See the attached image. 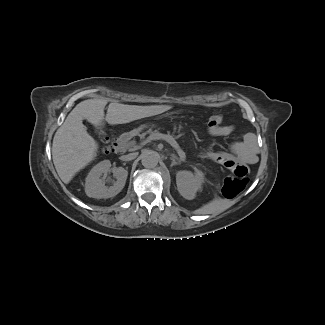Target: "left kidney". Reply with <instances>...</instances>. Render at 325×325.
Returning <instances> with one entry per match:
<instances>
[{"label":"left kidney","instance_id":"obj_1","mask_svg":"<svg viewBox=\"0 0 325 325\" xmlns=\"http://www.w3.org/2000/svg\"><path fill=\"white\" fill-rule=\"evenodd\" d=\"M205 181V174L197 170L195 173L187 170L178 171L176 174L177 189L185 199L195 198L197 191L201 190Z\"/></svg>","mask_w":325,"mask_h":325}]
</instances>
